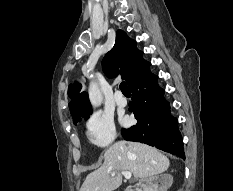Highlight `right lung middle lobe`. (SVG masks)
<instances>
[{
  "mask_svg": "<svg viewBox=\"0 0 233 191\" xmlns=\"http://www.w3.org/2000/svg\"><path fill=\"white\" fill-rule=\"evenodd\" d=\"M91 113H92L91 110H87V111H83L81 113H78L75 116H72L74 124H76L78 121H81V117H85L86 119H88L89 118V114H91Z\"/></svg>",
  "mask_w": 233,
  "mask_h": 191,
  "instance_id": "right-lung-middle-lobe-1",
  "label": "right lung middle lobe"
}]
</instances>
